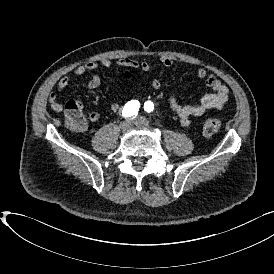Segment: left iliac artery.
<instances>
[{
	"label": "left iliac artery",
	"mask_w": 274,
	"mask_h": 274,
	"mask_svg": "<svg viewBox=\"0 0 274 274\" xmlns=\"http://www.w3.org/2000/svg\"><path fill=\"white\" fill-rule=\"evenodd\" d=\"M145 111L151 113L154 110V104L151 101H146L144 104Z\"/></svg>",
	"instance_id": "obj_1"
}]
</instances>
